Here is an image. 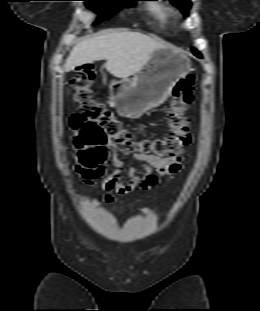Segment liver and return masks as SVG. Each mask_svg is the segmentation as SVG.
I'll list each match as a JSON object with an SVG mask.
<instances>
[{
  "label": "liver",
  "instance_id": "1",
  "mask_svg": "<svg viewBox=\"0 0 260 311\" xmlns=\"http://www.w3.org/2000/svg\"><path fill=\"white\" fill-rule=\"evenodd\" d=\"M170 47L139 32L114 31L78 42L70 51L65 71L94 61L106 60V70L115 77L126 79L136 74L159 48Z\"/></svg>",
  "mask_w": 260,
  "mask_h": 311
}]
</instances>
